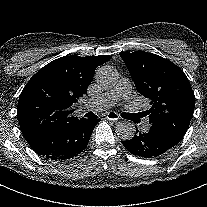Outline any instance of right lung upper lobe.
Here are the masks:
<instances>
[{
	"mask_svg": "<svg viewBox=\"0 0 207 207\" xmlns=\"http://www.w3.org/2000/svg\"><path fill=\"white\" fill-rule=\"evenodd\" d=\"M111 56H64L41 68L21 92L17 117L29 145L71 121L73 103L87 94L95 69Z\"/></svg>",
	"mask_w": 207,
	"mask_h": 207,
	"instance_id": "1",
	"label": "right lung upper lobe"
}]
</instances>
